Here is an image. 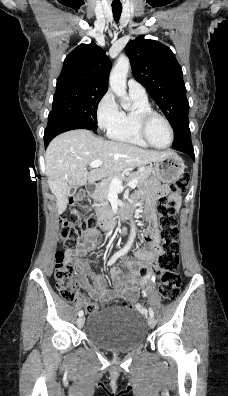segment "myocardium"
Wrapping results in <instances>:
<instances>
[{"instance_id": "obj_1", "label": "myocardium", "mask_w": 228, "mask_h": 396, "mask_svg": "<svg viewBox=\"0 0 228 396\" xmlns=\"http://www.w3.org/2000/svg\"><path fill=\"white\" fill-rule=\"evenodd\" d=\"M155 117L163 120L165 122V124L167 125L168 130L170 132V141L165 147L156 146L155 144H153L150 141V139L148 137V125H149L150 121ZM136 121H137L138 132H139L141 138L144 140V142L148 146L158 149V150H164V149H168L172 145V143L174 141V130H173V127H172L170 121L168 120V118H166L163 114H161L155 110L137 111Z\"/></svg>"}]
</instances>
